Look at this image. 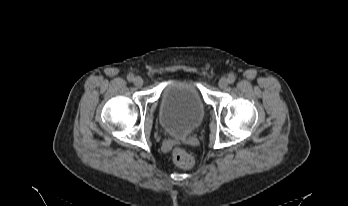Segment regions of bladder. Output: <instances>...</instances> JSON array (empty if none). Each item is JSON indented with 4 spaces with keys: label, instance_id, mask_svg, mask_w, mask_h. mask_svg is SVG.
I'll list each match as a JSON object with an SVG mask.
<instances>
[{
    "label": "bladder",
    "instance_id": "obj_1",
    "mask_svg": "<svg viewBox=\"0 0 348 206\" xmlns=\"http://www.w3.org/2000/svg\"><path fill=\"white\" fill-rule=\"evenodd\" d=\"M204 110L201 90L195 80L172 78L166 82L160 115L167 131L177 135L190 133L200 124Z\"/></svg>",
    "mask_w": 348,
    "mask_h": 206
}]
</instances>
